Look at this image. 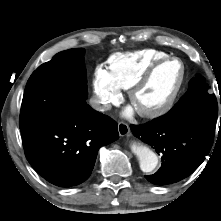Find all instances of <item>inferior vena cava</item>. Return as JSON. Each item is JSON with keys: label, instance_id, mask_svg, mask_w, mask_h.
Returning <instances> with one entry per match:
<instances>
[{"label": "inferior vena cava", "instance_id": "602c4592", "mask_svg": "<svg viewBox=\"0 0 221 221\" xmlns=\"http://www.w3.org/2000/svg\"><path fill=\"white\" fill-rule=\"evenodd\" d=\"M89 102L92 108L100 112L107 111L111 108L109 104L103 103L97 97H92Z\"/></svg>", "mask_w": 221, "mask_h": 221}]
</instances>
